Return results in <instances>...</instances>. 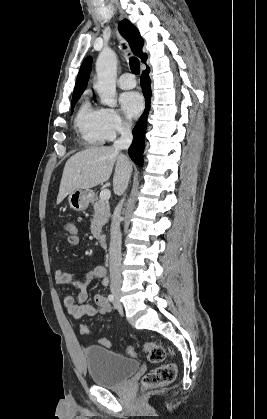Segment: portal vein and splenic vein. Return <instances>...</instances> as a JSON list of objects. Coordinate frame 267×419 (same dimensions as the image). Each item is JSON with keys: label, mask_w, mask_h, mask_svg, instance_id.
I'll return each mask as SVG.
<instances>
[{"label": "portal vein and splenic vein", "mask_w": 267, "mask_h": 419, "mask_svg": "<svg viewBox=\"0 0 267 419\" xmlns=\"http://www.w3.org/2000/svg\"><path fill=\"white\" fill-rule=\"evenodd\" d=\"M110 196H111V192L109 189H104L100 192L101 200H104V201L109 200Z\"/></svg>", "instance_id": "portal-vein-and-splenic-vein-1"}]
</instances>
